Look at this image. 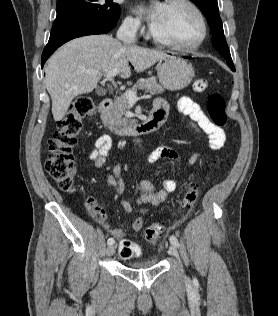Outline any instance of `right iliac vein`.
Segmentation results:
<instances>
[{
    "mask_svg": "<svg viewBox=\"0 0 278 316\" xmlns=\"http://www.w3.org/2000/svg\"><path fill=\"white\" fill-rule=\"evenodd\" d=\"M115 253V247L113 245H109L106 249L107 256H112Z\"/></svg>",
    "mask_w": 278,
    "mask_h": 316,
    "instance_id": "1",
    "label": "right iliac vein"
}]
</instances>
